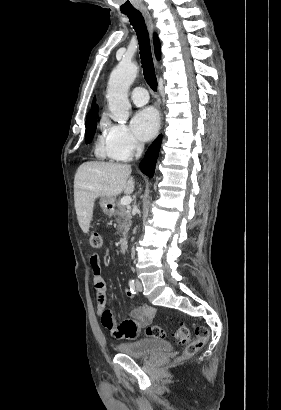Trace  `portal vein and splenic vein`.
<instances>
[{
    "label": "portal vein and splenic vein",
    "mask_w": 281,
    "mask_h": 410,
    "mask_svg": "<svg viewBox=\"0 0 281 410\" xmlns=\"http://www.w3.org/2000/svg\"><path fill=\"white\" fill-rule=\"evenodd\" d=\"M131 202H132V198L130 196H124L120 200V204H122V205H130Z\"/></svg>",
    "instance_id": "18ae733b"
}]
</instances>
